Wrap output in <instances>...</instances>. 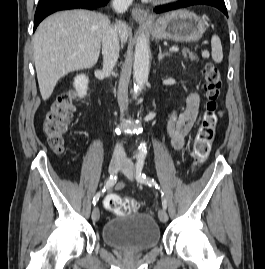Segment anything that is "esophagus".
Returning a JSON list of instances; mask_svg holds the SVG:
<instances>
[{"instance_id":"esophagus-1","label":"esophagus","mask_w":265,"mask_h":269,"mask_svg":"<svg viewBox=\"0 0 265 269\" xmlns=\"http://www.w3.org/2000/svg\"><path fill=\"white\" fill-rule=\"evenodd\" d=\"M133 19L139 23L148 22L150 20L149 14L140 7H134L131 11Z\"/></svg>"}]
</instances>
